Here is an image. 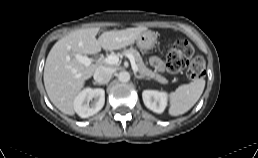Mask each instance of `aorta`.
<instances>
[{
	"label": "aorta",
	"instance_id": "obj_1",
	"mask_svg": "<svg viewBox=\"0 0 258 158\" xmlns=\"http://www.w3.org/2000/svg\"><path fill=\"white\" fill-rule=\"evenodd\" d=\"M118 79L120 82H128L130 80V74L127 71H121L118 73Z\"/></svg>",
	"mask_w": 258,
	"mask_h": 158
}]
</instances>
